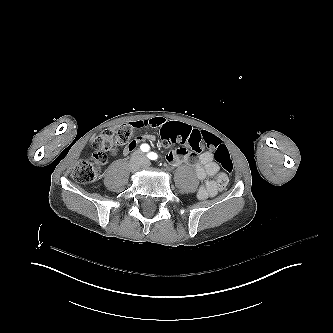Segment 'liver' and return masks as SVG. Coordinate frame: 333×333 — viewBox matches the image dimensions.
<instances>
[{
  "label": "liver",
  "mask_w": 333,
  "mask_h": 333,
  "mask_svg": "<svg viewBox=\"0 0 333 333\" xmlns=\"http://www.w3.org/2000/svg\"><path fill=\"white\" fill-rule=\"evenodd\" d=\"M98 132H95L88 141V145H91L95 142Z\"/></svg>",
  "instance_id": "6515ba94"
}]
</instances>
